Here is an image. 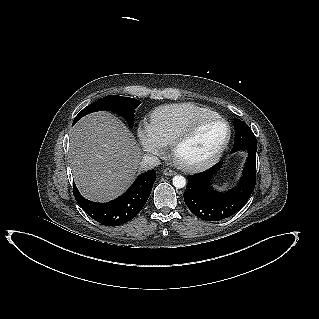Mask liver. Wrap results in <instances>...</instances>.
I'll list each match as a JSON object with an SVG mask.
<instances>
[{"instance_id": "6515ba94", "label": "liver", "mask_w": 319, "mask_h": 319, "mask_svg": "<svg viewBox=\"0 0 319 319\" xmlns=\"http://www.w3.org/2000/svg\"><path fill=\"white\" fill-rule=\"evenodd\" d=\"M69 162L76 186L91 201H110L127 190L140 170L137 142L116 116L95 112L69 132Z\"/></svg>"}]
</instances>
